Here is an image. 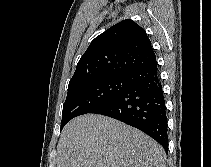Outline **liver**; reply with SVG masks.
I'll return each mask as SVG.
<instances>
[{"mask_svg":"<svg viewBox=\"0 0 211 167\" xmlns=\"http://www.w3.org/2000/svg\"><path fill=\"white\" fill-rule=\"evenodd\" d=\"M57 167H166L164 149L152 138L110 117L86 114L64 127Z\"/></svg>","mask_w":211,"mask_h":167,"instance_id":"6515ba94","label":"liver"}]
</instances>
